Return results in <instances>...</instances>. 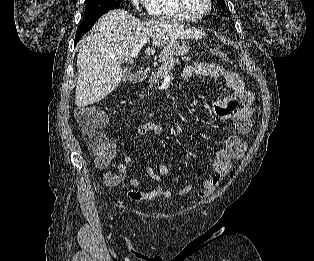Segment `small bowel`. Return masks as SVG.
I'll list each match as a JSON object with an SVG mask.
<instances>
[{"label":"small bowel","instance_id":"obj_1","mask_svg":"<svg viewBox=\"0 0 314 261\" xmlns=\"http://www.w3.org/2000/svg\"><path fill=\"white\" fill-rule=\"evenodd\" d=\"M196 76H208L223 79L228 88L232 91V94L229 97L218 100L213 105L214 113L218 118L223 120H234L236 133L229 135L224 145L216 151L215 156L209 158L213 165V174L204 180L202 189L198 192L199 196L208 197L213 194L217 186L231 170L232 161L242 158L245 154L247 143L242 140L240 136L247 135L251 130V105L253 96L246 88L242 78L236 72L226 70L218 64L196 62L183 69L182 78L185 81H190ZM137 133L142 137H147L151 134L161 135L163 134V128L157 123L148 122L140 125ZM111 144L113 146V152L105 158L104 164H101L96 159V166L100 169L106 168L117 154V143L112 141ZM122 161V164L116 171L109 172L117 176V182L125 176L127 166L131 162V159L129 156H123ZM145 171L155 182H161L162 177L167 176L170 173L169 167L165 164H159L156 168L149 166ZM129 184L132 187L137 188L141 185V181L136 177H131L129 179ZM191 190L192 185L187 183L182 186L179 194L187 195ZM126 195L132 200H150L159 196L170 198L172 196V191L170 188L164 186L158 187L147 193L130 189L127 190Z\"/></svg>","mask_w":314,"mask_h":261}]
</instances>
